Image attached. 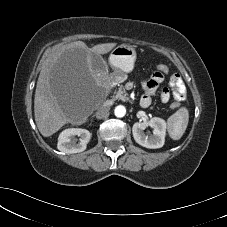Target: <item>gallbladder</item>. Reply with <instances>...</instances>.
Segmentation results:
<instances>
[{"label":"gallbladder","instance_id":"obj_1","mask_svg":"<svg viewBox=\"0 0 227 227\" xmlns=\"http://www.w3.org/2000/svg\"><path fill=\"white\" fill-rule=\"evenodd\" d=\"M92 66L95 72L104 74L107 72L108 67L105 62H103L102 57L98 55H92L91 58Z\"/></svg>","mask_w":227,"mask_h":227}]
</instances>
